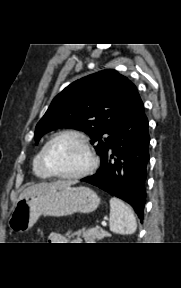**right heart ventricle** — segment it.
<instances>
[{
    "label": "right heart ventricle",
    "mask_w": 181,
    "mask_h": 288,
    "mask_svg": "<svg viewBox=\"0 0 181 288\" xmlns=\"http://www.w3.org/2000/svg\"><path fill=\"white\" fill-rule=\"evenodd\" d=\"M41 150L42 149H40L36 153V155H35V157L33 159L32 169H33V172H34L36 177H38L40 179H49L52 176L42 166V163H41Z\"/></svg>",
    "instance_id": "e07e8e85"
}]
</instances>
